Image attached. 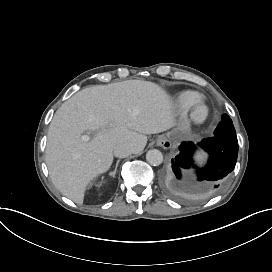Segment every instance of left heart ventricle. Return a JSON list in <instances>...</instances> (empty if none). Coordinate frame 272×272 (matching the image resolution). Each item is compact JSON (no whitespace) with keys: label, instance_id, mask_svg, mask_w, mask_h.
<instances>
[{"label":"left heart ventricle","instance_id":"obj_1","mask_svg":"<svg viewBox=\"0 0 272 272\" xmlns=\"http://www.w3.org/2000/svg\"><path fill=\"white\" fill-rule=\"evenodd\" d=\"M206 112H207L206 108L202 104H199V105L195 106L191 111L192 116L196 120L204 119V117L206 116Z\"/></svg>","mask_w":272,"mask_h":272}]
</instances>
